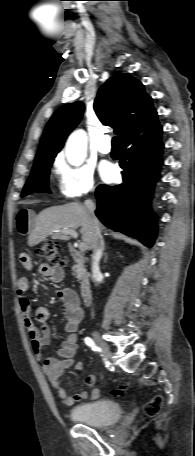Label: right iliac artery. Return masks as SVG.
Segmentation results:
<instances>
[{"instance_id": "1", "label": "right iliac artery", "mask_w": 195, "mask_h": 456, "mask_svg": "<svg viewBox=\"0 0 195 456\" xmlns=\"http://www.w3.org/2000/svg\"><path fill=\"white\" fill-rule=\"evenodd\" d=\"M86 345L92 348V350L97 351L99 348L95 345L94 341L90 337L84 339Z\"/></svg>"}]
</instances>
